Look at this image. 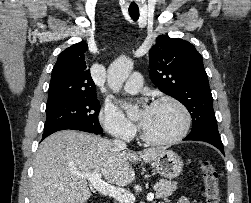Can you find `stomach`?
<instances>
[{"instance_id":"0dacf381","label":"stomach","mask_w":251,"mask_h":203,"mask_svg":"<svg viewBox=\"0 0 251 203\" xmlns=\"http://www.w3.org/2000/svg\"><path fill=\"white\" fill-rule=\"evenodd\" d=\"M156 172L164 178H176L182 171L184 163L172 150H163L152 163Z\"/></svg>"}]
</instances>
